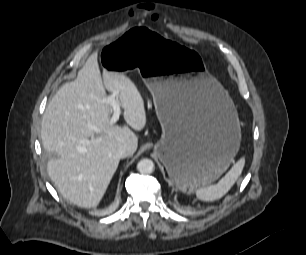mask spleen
Instances as JSON below:
<instances>
[{
  "instance_id": "1",
  "label": "spleen",
  "mask_w": 306,
  "mask_h": 255,
  "mask_svg": "<svg viewBox=\"0 0 306 255\" xmlns=\"http://www.w3.org/2000/svg\"><path fill=\"white\" fill-rule=\"evenodd\" d=\"M244 164L245 159L241 158L217 184L198 188L196 190L197 197L204 201H214L223 197L240 176Z\"/></svg>"
}]
</instances>
